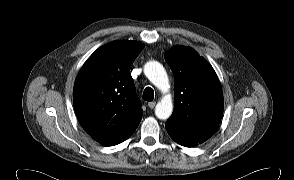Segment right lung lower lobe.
I'll list each match as a JSON object with an SVG mask.
<instances>
[{
  "label": "right lung lower lobe",
  "instance_id": "1",
  "mask_svg": "<svg viewBox=\"0 0 294 180\" xmlns=\"http://www.w3.org/2000/svg\"><path fill=\"white\" fill-rule=\"evenodd\" d=\"M140 122V121H139ZM139 122H137L133 127H131L129 130H127L125 133H123L120 137L116 138L115 140H113L112 142L110 143H105V144H102V145H105V146H111V145H117L123 141H125L126 139H128L132 134L133 132L136 130Z\"/></svg>",
  "mask_w": 294,
  "mask_h": 180
}]
</instances>
